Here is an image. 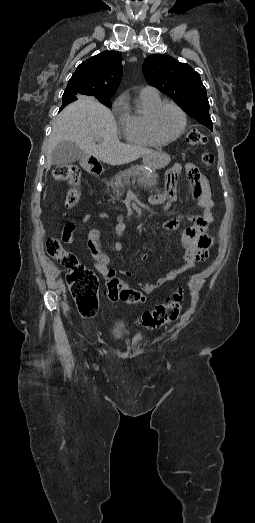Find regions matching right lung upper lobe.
Instances as JSON below:
<instances>
[{"label":"right lung upper lobe","mask_w":255,"mask_h":523,"mask_svg":"<svg viewBox=\"0 0 255 523\" xmlns=\"http://www.w3.org/2000/svg\"><path fill=\"white\" fill-rule=\"evenodd\" d=\"M121 61L118 51H105L81 63L68 82L60 111L76 101L77 96L97 100L111 98L122 78Z\"/></svg>","instance_id":"1"}]
</instances>
